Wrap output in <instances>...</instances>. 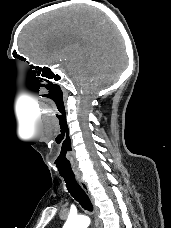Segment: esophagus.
<instances>
[{
    "label": "esophagus",
    "mask_w": 171,
    "mask_h": 228,
    "mask_svg": "<svg viewBox=\"0 0 171 228\" xmlns=\"http://www.w3.org/2000/svg\"><path fill=\"white\" fill-rule=\"evenodd\" d=\"M76 180H77L78 184L81 186V188L84 190V192L87 194V196L89 197V199L91 200V202L93 204L95 228H102V223H101V220L99 218V211H98L97 207L94 205V199L92 197V194L89 190L87 183L84 181V179L80 175L76 176Z\"/></svg>",
    "instance_id": "34e87169"
}]
</instances>
